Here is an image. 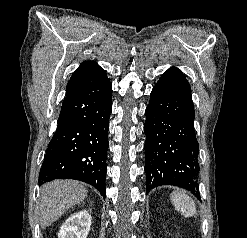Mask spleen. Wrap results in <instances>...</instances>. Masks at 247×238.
<instances>
[{"label": "spleen", "mask_w": 247, "mask_h": 238, "mask_svg": "<svg viewBox=\"0 0 247 238\" xmlns=\"http://www.w3.org/2000/svg\"><path fill=\"white\" fill-rule=\"evenodd\" d=\"M170 199L177 211L185 217L196 216L195 202L182 190L174 191Z\"/></svg>", "instance_id": "spleen-1"}]
</instances>
